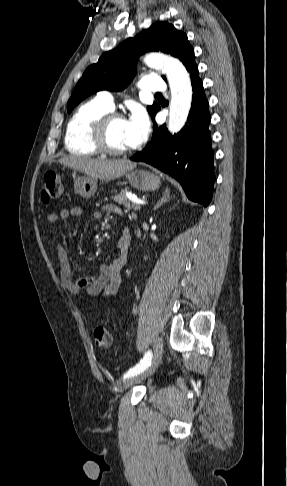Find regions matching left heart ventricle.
<instances>
[{"label": "left heart ventricle", "mask_w": 287, "mask_h": 486, "mask_svg": "<svg viewBox=\"0 0 287 486\" xmlns=\"http://www.w3.org/2000/svg\"><path fill=\"white\" fill-rule=\"evenodd\" d=\"M107 140L109 145L116 149H126L130 147L125 119H118L111 123L108 129Z\"/></svg>", "instance_id": "1"}]
</instances>
